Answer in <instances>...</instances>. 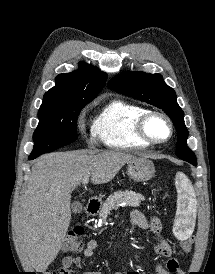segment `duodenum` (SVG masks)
Here are the masks:
<instances>
[{"mask_svg":"<svg viewBox=\"0 0 215 274\" xmlns=\"http://www.w3.org/2000/svg\"><path fill=\"white\" fill-rule=\"evenodd\" d=\"M99 208V203L97 200L95 199H91L88 201L87 205H86V213L90 216H93L97 213Z\"/></svg>","mask_w":215,"mask_h":274,"instance_id":"1","label":"duodenum"}]
</instances>
